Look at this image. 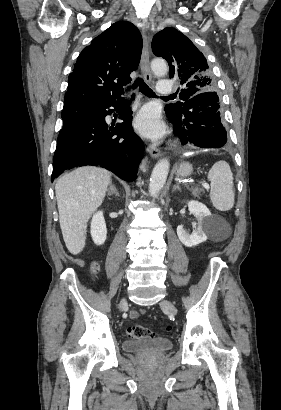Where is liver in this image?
<instances>
[{
	"label": "liver",
	"instance_id": "1",
	"mask_svg": "<svg viewBox=\"0 0 281 410\" xmlns=\"http://www.w3.org/2000/svg\"><path fill=\"white\" fill-rule=\"evenodd\" d=\"M110 183V172L93 166L77 168L56 182L60 227L71 254L85 247L88 220L102 204Z\"/></svg>",
	"mask_w": 281,
	"mask_h": 410
}]
</instances>
